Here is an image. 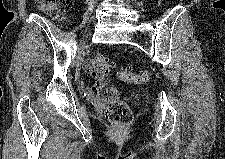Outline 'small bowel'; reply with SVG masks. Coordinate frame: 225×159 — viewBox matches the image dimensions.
<instances>
[{
    "mask_svg": "<svg viewBox=\"0 0 225 159\" xmlns=\"http://www.w3.org/2000/svg\"><path fill=\"white\" fill-rule=\"evenodd\" d=\"M85 67L87 69H92V61L87 60L85 62ZM101 80H99L95 85L93 86H87L83 81L79 82V87L82 91H84L86 94L93 95L98 90V87L100 86Z\"/></svg>",
    "mask_w": 225,
    "mask_h": 159,
    "instance_id": "1",
    "label": "small bowel"
}]
</instances>
